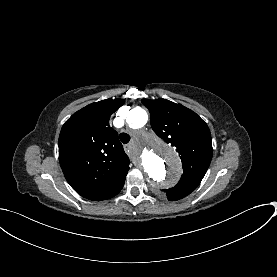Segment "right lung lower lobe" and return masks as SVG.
I'll list each match as a JSON object with an SVG mask.
<instances>
[{
  "label": "right lung lower lobe",
  "instance_id": "98d812e1",
  "mask_svg": "<svg viewBox=\"0 0 277 277\" xmlns=\"http://www.w3.org/2000/svg\"><path fill=\"white\" fill-rule=\"evenodd\" d=\"M72 159L74 160V162H73L72 166L69 167L70 169L76 170L77 168H80V169L84 170L86 168V167H83L80 164H77L79 162V156L78 155H74L72 157ZM112 168H113L112 166H107V167H105V169H102L100 171V173L103 174V177H109L110 175L114 174L112 172Z\"/></svg>",
  "mask_w": 277,
  "mask_h": 277
}]
</instances>
